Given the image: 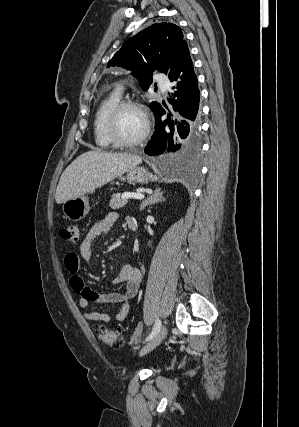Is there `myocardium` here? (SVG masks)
I'll return each instance as SVG.
<instances>
[{"label": "myocardium", "instance_id": "myocardium-1", "mask_svg": "<svg viewBox=\"0 0 299 427\" xmlns=\"http://www.w3.org/2000/svg\"><path fill=\"white\" fill-rule=\"evenodd\" d=\"M126 108H133L139 111L144 118V130L137 138L133 140H124L119 136L117 132V118L121 111ZM104 129L108 140L114 146L120 148H130L143 143L147 139L150 133V121L146 112L143 110V108L138 102H135L133 100H121L109 111L105 120Z\"/></svg>", "mask_w": 299, "mask_h": 427}]
</instances>
